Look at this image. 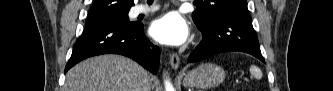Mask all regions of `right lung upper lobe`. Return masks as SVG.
I'll list each match as a JSON object with an SVG mask.
<instances>
[{
    "instance_id": "right-lung-upper-lobe-1",
    "label": "right lung upper lobe",
    "mask_w": 333,
    "mask_h": 91,
    "mask_svg": "<svg viewBox=\"0 0 333 91\" xmlns=\"http://www.w3.org/2000/svg\"><path fill=\"white\" fill-rule=\"evenodd\" d=\"M133 0H94L88 21L129 11Z\"/></svg>"
}]
</instances>
